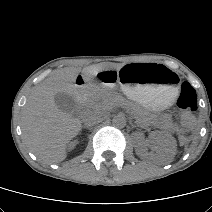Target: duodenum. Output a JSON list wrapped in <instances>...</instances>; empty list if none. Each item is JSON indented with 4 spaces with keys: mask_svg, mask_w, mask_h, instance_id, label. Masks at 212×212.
Here are the masks:
<instances>
[{
    "mask_svg": "<svg viewBox=\"0 0 212 212\" xmlns=\"http://www.w3.org/2000/svg\"><path fill=\"white\" fill-rule=\"evenodd\" d=\"M91 85V81L86 78H79L76 82V97L81 100Z\"/></svg>",
    "mask_w": 212,
    "mask_h": 212,
    "instance_id": "1",
    "label": "duodenum"
}]
</instances>
